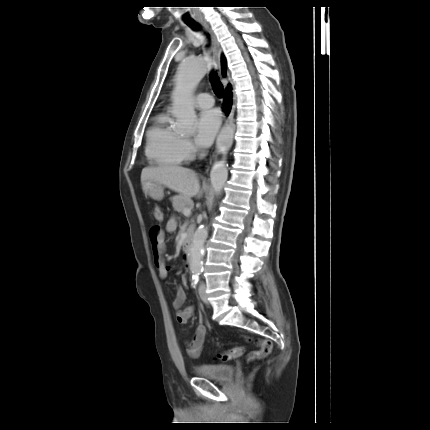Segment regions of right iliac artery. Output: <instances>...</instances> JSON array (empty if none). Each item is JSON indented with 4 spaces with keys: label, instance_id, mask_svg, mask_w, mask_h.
<instances>
[{
    "label": "right iliac artery",
    "instance_id": "82829eb1",
    "mask_svg": "<svg viewBox=\"0 0 430 430\" xmlns=\"http://www.w3.org/2000/svg\"><path fill=\"white\" fill-rule=\"evenodd\" d=\"M199 276H200L199 272L193 274V276H192V283H191L192 287H195L197 285V283L199 281Z\"/></svg>",
    "mask_w": 430,
    "mask_h": 430
}]
</instances>
